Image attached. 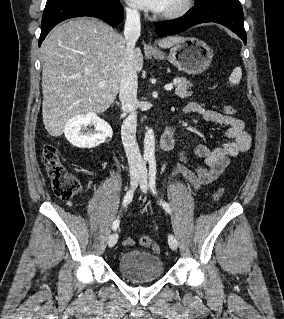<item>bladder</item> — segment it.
<instances>
[{"label": "bladder", "instance_id": "1", "mask_svg": "<svg viewBox=\"0 0 284 319\" xmlns=\"http://www.w3.org/2000/svg\"><path fill=\"white\" fill-rule=\"evenodd\" d=\"M120 273L133 282H150L158 279L164 270L163 260L155 255L140 250L124 252L118 261Z\"/></svg>", "mask_w": 284, "mask_h": 319}]
</instances>
